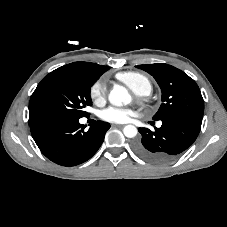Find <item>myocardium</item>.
Here are the masks:
<instances>
[{"label":"myocardium","instance_id":"1","mask_svg":"<svg viewBox=\"0 0 227 227\" xmlns=\"http://www.w3.org/2000/svg\"><path fill=\"white\" fill-rule=\"evenodd\" d=\"M146 102V100L145 99H142V103H145Z\"/></svg>","mask_w":227,"mask_h":227}]
</instances>
